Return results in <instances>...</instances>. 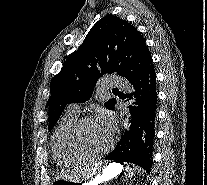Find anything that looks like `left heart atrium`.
Listing matches in <instances>:
<instances>
[{"mask_svg": "<svg viewBox=\"0 0 207 185\" xmlns=\"http://www.w3.org/2000/svg\"><path fill=\"white\" fill-rule=\"evenodd\" d=\"M96 120L99 124L105 127L111 133L114 132L115 129V119L112 113L108 110L102 109L99 111Z\"/></svg>", "mask_w": 207, "mask_h": 185, "instance_id": "1", "label": "left heart atrium"}]
</instances>
